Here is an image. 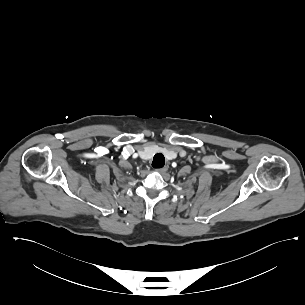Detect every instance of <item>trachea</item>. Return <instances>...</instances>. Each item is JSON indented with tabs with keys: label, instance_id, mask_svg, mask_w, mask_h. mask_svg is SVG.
Returning a JSON list of instances; mask_svg holds the SVG:
<instances>
[{
	"label": "trachea",
	"instance_id": "1",
	"mask_svg": "<svg viewBox=\"0 0 305 305\" xmlns=\"http://www.w3.org/2000/svg\"><path fill=\"white\" fill-rule=\"evenodd\" d=\"M165 164V157L161 153H157L153 157L152 166L154 168H162Z\"/></svg>",
	"mask_w": 305,
	"mask_h": 305
}]
</instances>
